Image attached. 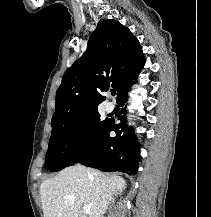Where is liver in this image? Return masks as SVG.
Wrapping results in <instances>:
<instances>
[{
	"mask_svg": "<svg viewBox=\"0 0 211 217\" xmlns=\"http://www.w3.org/2000/svg\"><path fill=\"white\" fill-rule=\"evenodd\" d=\"M125 180L99 170L74 165L40 186L44 217H103L113 195L125 189ZM90 206L85 213L83 207Z\"/></svg>",
	"mask_w": 211,
	"mask_h": 217,
	"instance_id": "1",
	"label": "liver"
}]
</instances>
